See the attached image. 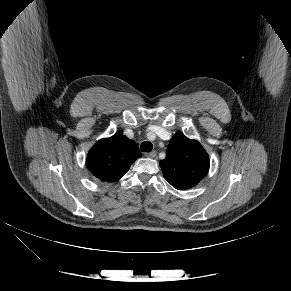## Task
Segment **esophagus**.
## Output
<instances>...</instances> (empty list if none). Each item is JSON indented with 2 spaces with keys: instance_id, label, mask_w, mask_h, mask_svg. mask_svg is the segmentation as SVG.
I'll return each mask as SVG.
<instances>
[{
  "instance_id": "1",
  "label": "esophagus",
  "mask_w": 291,
  "mask_h": 291,
  "mask_svg": "<svg viewBox=\"0 0 291 291\" xmlns=\"http://www.w3.org/2000/svg\"><path fill=\"white\" fill-rule=\"evenodd\" d=\"M145 156L148 157V158H155L157 156V152L156 151H152L150 153H147Z\"/></svg>"
}]
</instances>
